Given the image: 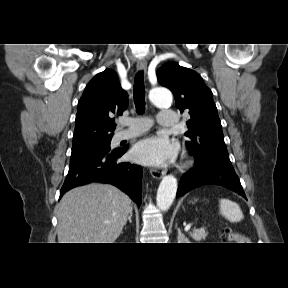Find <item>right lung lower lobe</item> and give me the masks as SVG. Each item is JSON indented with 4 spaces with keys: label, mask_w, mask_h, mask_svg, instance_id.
Masks as SVG:
<instances>
[{
    "label": "right lung lower lobe",
    "mask_w": 288,
    "mask_h": 288,
    "mask_svg": "<svg viewBox=\"0 0 288 288\" xmlns=\"http://www.w3.org/2000/svg\"><path fill=\"white\" fill-rule=\"evenodd\" d=\"M127 148L102 151L76 161H70L69 172L60 191V198L70 189L92 181L120 188L138 205L141 204L142 168L117 161Z\"/></svg>",
    "instance_id": "right-lung-lower-lobe-1"
}]
</instances>
